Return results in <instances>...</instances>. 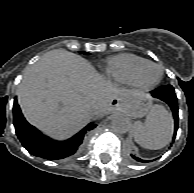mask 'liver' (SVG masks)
<instances>
[{
  "label": "liver",
  "mask_w": 194,
  "mask_h": 193,
  "mask_svg": "<svg viewBox=\"0 0 194 193\" xmlns=\"http://www.w3.org/2000/svg\"><path fill=\"white\" fill-rule=\"evenodd\" d=\"M139 95L116 88L85 59L62 49L45 53L28 67L17 89L28 122L58 140L75 134L95 115L117 110L114 100L128 102Z\"/></svg>",
  "instance_id": "1"
}]
</instances>
